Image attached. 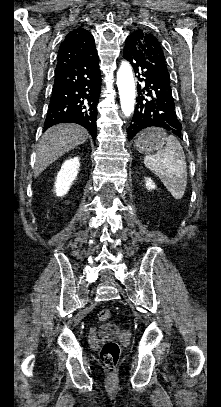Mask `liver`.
I'll use <instances>...</instances> for the list:
<instances>
[{
  "label": "liver",
  "mask_w": 221,
  "mask_h": 407,
  "mask_svg": "<svg viewBox=\"0 0 221 407\" xmlns=\"http://www.w3.org/2000/svg\"><path fill=\"white\" fill-rule=\"evenodd\" d=\"M88 136L87 130L76 124H59L50 127L42 135L36 150L34 177H38L66 152L84 143Z\"/></svg>",
  "instance_id": "liver-1"
}]
</instances>
